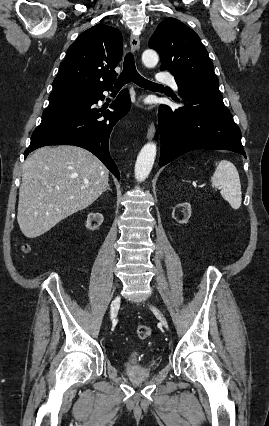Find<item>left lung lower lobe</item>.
<instances>
[{
    "label": "left lung lower lobe",
    "mask_w": 269,
    "mask_h": 426,
    "mask_svg": "<svg viewBox=\"0 0 269 426\" xmlns=\"http://www.w3.org/2000/svg\"><path fill=\"white\" fill-rule=\"evenodd\" d=\"M175 80L185 106L159 108V166L196 149L230 150L246 157L240 129L224 105L218 85L188 89L181 88Z\"/></svg>",
    "instance_id": "left-lung-lower-lobe-1"
}]
</instances>
